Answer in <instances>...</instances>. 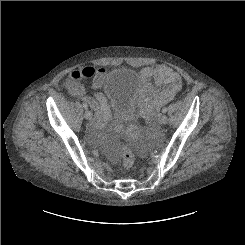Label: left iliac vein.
I'll list each match as a JSON object with an SVG mask.
<instances>
[{"mask_svg": "<svg viewBox=\"0 0 245 245\" xmlns=\"http://www.w3.org/2000/svg\"><path fill=\"white\" fill-rule=\"evenodd\" d=\"M168 122V118L165 114H163L160 118V123L161 124H166Z\"/></svg>", "mask_w": 245, "mask_h": 245, "instance_id": "4c4485c4", "label": "left iliac vein"}]
</instances>
